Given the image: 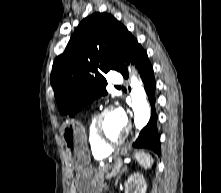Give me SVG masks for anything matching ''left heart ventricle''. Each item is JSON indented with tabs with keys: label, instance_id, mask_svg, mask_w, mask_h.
Returning a JSON list of instances; mask_svg holds the SVG:
<instances>
[{
	"label": "left heart ventricle",
	"instance_id": "1",
	"mask_svg": "<svg viewBox=\"0 0 221 193\" xmlns=\"http://www.w3.org/2000/svg\"><path fill=\"white\" fill-rule=\"evenodd\" d=\"M126 129V124L123 123L115 111L106 114L102 120V131L110 140H116L121 137Z\"/></svg>",
	"mask_w": 221,
	"mask_h": 193
}]
</instances>
